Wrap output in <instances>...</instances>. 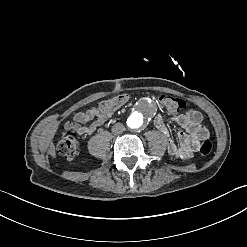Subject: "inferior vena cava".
<instances>
[{
  "label": "inferior vena cava",
  "mask_w": 247,
  "mask_h": 247,
  "mask_svg": "<svg viewBox=\"0 0 247 247\" xmlns=\"http://www.w3.org/2000/svg\"><path fill=\"white\" fill-rule=\"evenodd\" d=\"M125 130L124 125L122 123H116L112 126L113 134H121Z\"/></svg>",
  "instance_id": "602c4592"
}]
</instances>
